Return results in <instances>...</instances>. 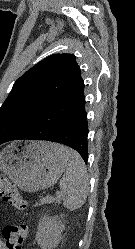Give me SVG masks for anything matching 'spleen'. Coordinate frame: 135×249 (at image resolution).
Masks as SVG:
<instances>
[{
  "label": "spleen",
  "instance_id": "3e777b00",
  "mask_svg": "<svg viewBox=\"0 0 135 249\" xmlns=\"http://www.w3.org/2000/svg\"><path fill=\"white\" fill-rule=\"evenodd\" d=\"M53 150L66 163V171L60 179V189L65 194L63 206L71 211L81 208L89 192V179L81 156L68 147L53 144Z\"/></svg>",
  "mask_w": 135,
  "mask_h": 249
}]
</instances>
